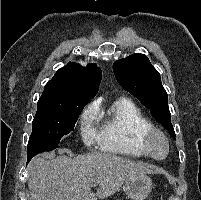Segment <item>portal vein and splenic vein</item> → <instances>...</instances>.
<instances>
[{
  "instance_id": "1",
  "label": "portal vein and splenic vein",
  "mask_w": 201,
  "mask_h": 200,
  "mask_svg": "<svg viewBox=\"0 0 201 200\" xmlns=\"http://www.w3.org/2000/svg\"><path fill=\"white\" fill-rule=\"evenodd\" d=\"M97 184H98V182L94 181V182L92 183V186H97Z\"/></svg>"
}]
</instances>
